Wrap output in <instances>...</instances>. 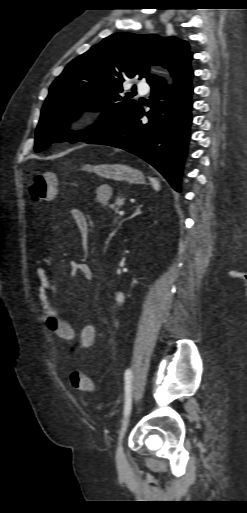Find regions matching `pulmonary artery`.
I'll use <instances>...</instances> for the list:
<instances>
[{"mask_svg":"<svg viewBox=\"0 0 247 513\" xmlns=\"http://www.w3.org/2000/svg\"><path fill=\"white\" fill-rule=\"evenodd\" d=\"M137 89H138V91L140 93L146 94V93H148L150 88H149V85L147 83L141 82V83L138 84Z\"/></svg>","mask_w":247,"mask_h":513,"instance_id":"obj_1","label":"pulmonary artery"}]
</instances>
